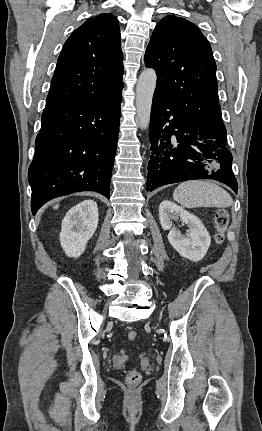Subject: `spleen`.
<instances>
[{
	"mask_svg": "<svg viewBox=\"0 0 262 431\" xmlns=\"http://www.w3.org/2000/svg\"><path fill=\"white\" fill-rule=\"evenodd\" d=\"M173 199L186 208L217 207L226 208L233 205L230 194L222 187L209 181L191 180L178 185Z\"/></svg>",
	"mask_w": 262,
	"mask_h": 431,
	"instance_id": "spleen-1",
	"label": "spleen"
}]
</instances>
